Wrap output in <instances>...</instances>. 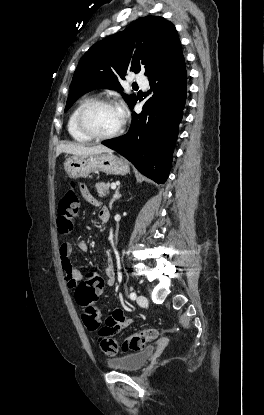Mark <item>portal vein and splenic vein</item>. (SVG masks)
<instances>
[{
  "instance_id": "1",
  "label": "portal vein and splenic vein",
  "mask_w": 264,
  "mask_h": 415,
  "mask_svg": "<svg viewBox=\"0 0 264 415\" xmlns=\"http://www.w3.org/2000/svg\"><path fill=\"white\" fill-rule=\"evenodd\" d=\"M111 188H112V189H115V188H116V184H115V183H112V184H111Z\"/></svg>"
}]
</instances>
